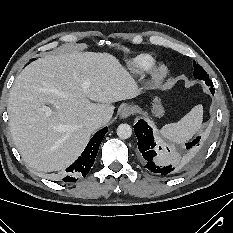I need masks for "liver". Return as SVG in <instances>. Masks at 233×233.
I'll return each instance as SVG.
<instances>
[{
  "mask_svg": "<svg viewBox=\"0 0 233 233\" xmlns=\"http://www.w3.org/2000/svg\"><path fill=\"white\" fill-rule=\"evenodd\" d=\"M136 95V81L110 53L39 58L22 70L9 93L14 144L31 168L40 172L64 169L90 139L92 130L85 127V119L99 115L107 124L114 113L112 103Z\"/></svg>",
  "mask_w": 233,
  "mask_h": 233,
  "instance_id": "obj_1",
  "label": "liver"
}]
</instances>
